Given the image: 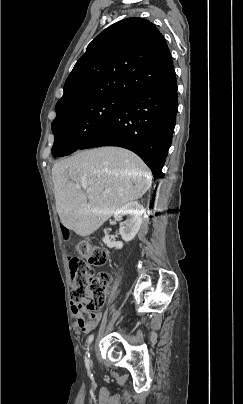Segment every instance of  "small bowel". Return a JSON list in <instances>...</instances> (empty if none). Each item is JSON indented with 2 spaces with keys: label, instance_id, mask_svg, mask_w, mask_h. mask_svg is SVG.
Returning <instances> with one entry per match:
<instances>
[{
  "label": "small bowel",
  "instance_id": "obj_1",
  "mask_svg": "<svg viewBox=\"0 0 243 404\" xmlns=\"http://www.w3.org/2000/svg\"><path fill=\"white\" fill-rule=\"evenodd\" d=\"M72 258L73 257L69 258V262L72 260ZM71 309L76 318L78 328L84 333L90 332L98 325L100 320L99 314H95L89 319L84 318L83 312L85 310V306L83 303H75L72 305Z\"/></svg>",
  "mask_w": 243,
  "mask_h": 404
}]
</instances>
